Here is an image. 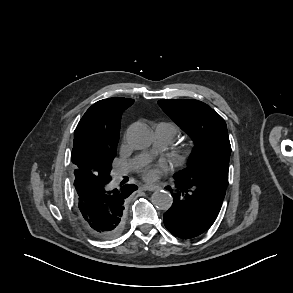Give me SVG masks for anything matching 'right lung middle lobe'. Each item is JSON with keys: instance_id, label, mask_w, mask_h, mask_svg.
I'll use <instances>...</instances> for the list:
<instances>
[{"instance_id": "obj_1", "label": "right lung middle lobe", "mask_w": 293, "mask_h": 293, "mask_svg": "<svg viewBox=\"0 0 293 293\" xmlns=\"http://www.w3.org/2000/svg\"><path fill=\"white\" fill-rule=\"evenodd\" d=\"M114 158H115V154L113 155L108 154L99 159H95L93 162H94V165L96 166L97 172H92V173L99 176H105V177L110 176L111 165Z\"/></svg>"}]
</instances>
